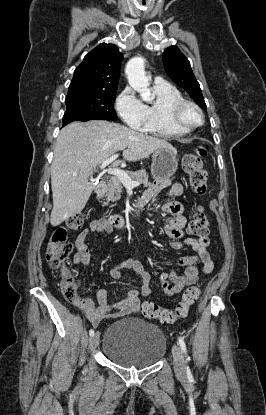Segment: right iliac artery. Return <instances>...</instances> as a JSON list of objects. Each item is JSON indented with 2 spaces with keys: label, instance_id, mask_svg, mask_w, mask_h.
Listing matches in <instances>:
<instances>
[{
  "label": "right iliac artery",
  "instance_id": "right-iliac-artery-1",
  "mask_svg": "<svg viewBox=\"0 0 266 415\" xmlns=\"http://www.w3.org/2000/svg\"><path fill=\"white\" fill-rule=\"evenodd\" d=\"M89 335H90L91 337L94 335V330H93V329H91V330L89 331Z\"/></svg>",
  "mask_w": 266,
  "mask_h": 415
}]
</instances>
